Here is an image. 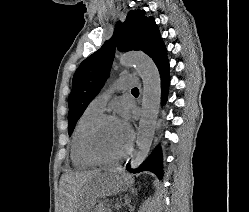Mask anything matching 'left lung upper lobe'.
<instances>
[{
	"label": "left lung upper lobe",
	"mask_w": 249,
	"mask_h": 212,
	"mask_svg": "<svg viewBox=\"0 0 249 212\" xmlns=\"http://www.w3.org/2000/svg\"><path fill=\"white\" fill-rule=\"evenodd\" d=\"M116 47L121 51L141 50L154 59L165 45L155 19L146 17L144 10L130 11L124 23L117 22L114 36L86 58L74 74L68 98L69 135L109 77Z\"/></svg>",
	"instance_id": "1"
}]
</instances>
